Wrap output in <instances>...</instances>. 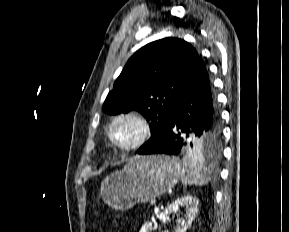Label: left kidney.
<instances>
[{"label": "left kidney", "mask_w": 289, "mask_h": 232, "mask_svg": "<svg viewBox=\"0 0 289 232\" xmlns=\"http://www.w3.org/2000/svg\"><path fill=\"white\" fill-rule=\"evenodd\" d=\"M198 203L197 198L191 195L180 197L167 205L161 215L167 217L171 213H176L180 211V208H183V212H181L182 217L178 220V224L173 232H186L198 213ZM153 229L152 223L147 222L142 226L140 232H151Z\"/></svg>", "instance_id": "1"}]
</instances>
